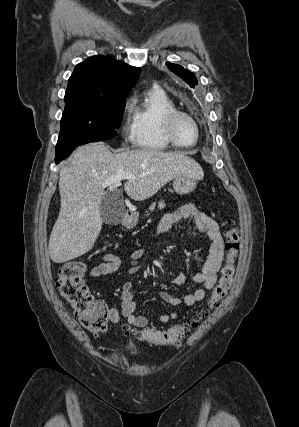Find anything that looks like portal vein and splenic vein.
<instances>
[{
	"label": "portal vein and splenic vein",
	"mask_w": 299,
	"mask_h": 427,
	"mask_svg": "<svg viewBox=\"0 0 299 427\" xmlns=\"http://www.w3.org/2000/svg\"><path fill=\"white\" fill-rule=\"evenodd\" d=\"M135 176L131 173H119L117 176L108 179L103 186L120 185L124 179H133Z\"/></svg>",
	"instance_id": "obj_1"
}]
</instances>
